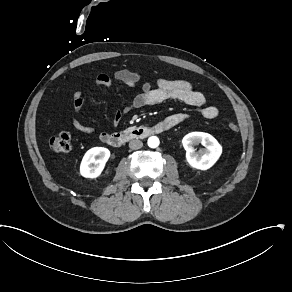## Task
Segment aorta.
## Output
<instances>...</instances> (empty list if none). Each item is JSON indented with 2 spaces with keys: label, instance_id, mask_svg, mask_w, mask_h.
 <instances>
[{
  "label": "aorta",
  "instance_id": "1",
  "mask_svg": "<svg viewBox=\"0 0 292 292\" xmlns=\"http://www.w3.org/2000/svg\"><path fill=\"white\" fill-rule=\"evenodd\" d=\"M148 145L151 148H156L159 145V139L156 136H151L148 139Z\"/></svg>",
  "mask_w": 292,
  "mask_h": 292
}]
</instances>
